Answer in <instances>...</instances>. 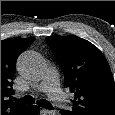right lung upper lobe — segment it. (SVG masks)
<instances>
[{
    "label": "right lung upper lobe",
    "mask_w": 115,
    "mask_h": 115,
    "mask_svg": "<svg viewBox=\"0 0 115 115\" xmlns=\"http://www.w3.org/2000/svg\"><path fill=\"white\" fill-rule=\"evenodd\" d=\"M35 38H9L1 41V115H24L28 105L13 102V72L17 57Z\"/></svg>",
    "instance_id": "cb5924a9"
}]
</instances>
